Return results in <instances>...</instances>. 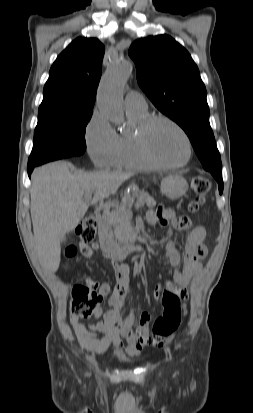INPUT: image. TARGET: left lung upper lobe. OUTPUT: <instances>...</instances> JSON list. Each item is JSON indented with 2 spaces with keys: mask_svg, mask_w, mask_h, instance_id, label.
Listing matches in <instances>:
<instances>
[{
  "mask_svg": "<svg viewBox=\"0 0 253 413\" xmlns=\"http://www.w3.org/2000/svg\"><path fill=\"white\" fill-rule=\"evenodd\" d=\"M129 56L136 64L139 86L162 113L184 129L203 168L222 174L206 88L188 51L172 37L158 35L133 42Z\"/></svg>",
  "mask_w": 253,
  "mask_h": 413,
  "instance_id": "left-lung-upper-lobe-1",
  "label": "left lung upper lobe"
}]
</instances>
